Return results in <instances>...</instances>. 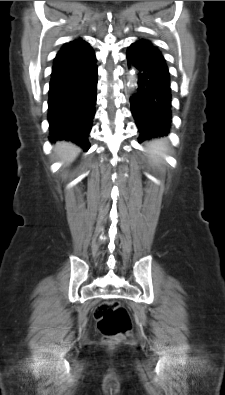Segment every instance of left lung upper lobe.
Returning <instances> with one entry per match:
<instances>
[{
	"label": "left lung upper lobe",
	"instance_id": "obj_1",
	"mask_svg": "<svg viewBox=\"0 0 225 395\" xmlns=\"http://www.w3.org/2000/svg\"><path fill=\"white\" fill-rule=\"evenodd\" d=\"M139 60H161L165 61L162 53L150 41L139 39L128 48Z\"/></svg>",
	"mask_w": 225,
	"mask_h": 395
}]
</instances>
